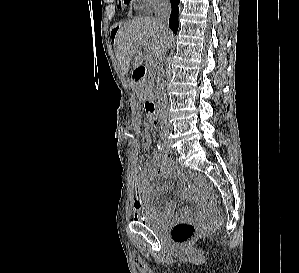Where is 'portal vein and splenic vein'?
<instances>
[{"instance_id":"18ae733b","label":"portal vein and splenic vein","mask_w":299,"mask_h":273,"mask_svg":"<svg viewBox=\"0 0 299 273\" xmlns=\"http://www.w3.org/2000/svg\"><path fill=\"white\" fill-rule=\"evenodd\" d=\"M141 47H144L145 49H147V45H146L145 43H143V44L141 45ZM147 61H149L150 63H152V62H153V59H152L151 57H147Z\"/></svg>"}]
</instances>
